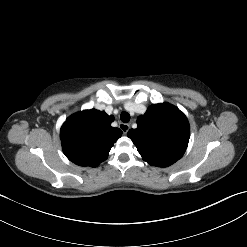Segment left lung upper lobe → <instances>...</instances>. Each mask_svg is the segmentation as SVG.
<instances>
[{
	"label": "left lung upper lobe",
	"mask_w": 247,
	"mask_h": 247,
	"mask_svg": "<svg viewBox=\"0 0 247 247\" xmlns=\"http://www.w3.org/2000/svg\"><path fill=\"white\" fill-rule=\"evenodd\" d=\"M128 132L142 158L150 165L168 167L186 151L190 126L186 116L169 103L154 104Z\"/></svg>",
	"instance_id": "obj_1"
}]
</instances>
